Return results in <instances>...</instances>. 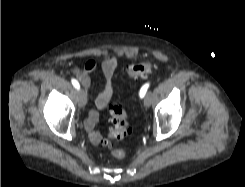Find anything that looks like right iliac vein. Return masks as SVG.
Returning a JSON list of instances; mask_svg holds the SVG:
<instances>
[{
  "instance_id": "1",
  "label": "right iliac vein",
  "mask_w": 245,
  "mask_h": 187,
  "mask_svg": "<svg viewBox=\"0 0 245 187\" xmlns=\"http://www.w3.org/2000/svg\"><path fill=\"white\" fill-rule=\"evenodd\" d=\"M78 105L80 108H83L87 102V96L84 90H80L77 95Z\"/></svg>"
}]
</instances>
